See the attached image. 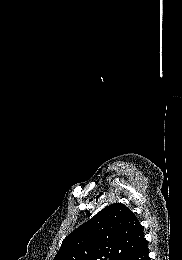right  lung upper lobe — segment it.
<instances>
[{"label": "right lung upper lobe", "instance_id": "obj_1", "mask_svg": "<svg viewBox=\"0 0 182 260\" xmlns=\"http://www.w3.org/2000/svg\"><path fill=\"white\" fill-rule=\"evenodd\" d=\"M146 242L134 213L114 203L71 232L54 260H125Z\"/></svg>", "mask_w": 182, "mask_h": 260}]
</instances>
